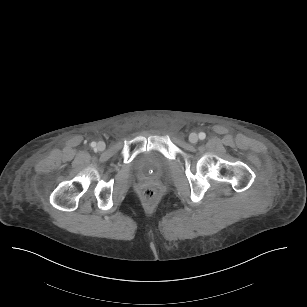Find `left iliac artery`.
Listing matches in <instances>:
<instances>
[{
    "label": "left iliac artery",
    "instance_id": "left-iliac-artery-1",
    "mask_svg": "<svg viewBox=\"0 0 307 307\" xmlns=\"http://www.w3.org/2000/svg\"><path fill=\"white\" fill-rule=\"evenodd\" d=\"M205 137H206V134H205L204 132H200V133H199V139H200V140H204Z\"/></svg>",
    "mask_w": 307,
    "mask_h": 307
}]
</instances>
